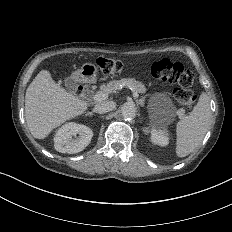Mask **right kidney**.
<instances>
[{"label": "right kidney", "mask_w": 232, "mask_h": 232, "mask_svg": "<svg viewBox=\"0 0 232 232\" xmlns=\"http://www.w3.org/2000/svg\"><path fill=\"white\" fill-rule=\"evenodd\" d=\"M93 137V132L81 124H66L61 127L55 138V149L61 153L76 154L86 148Z\"/></svg>", "instance_id": "1"}]
</instances>
